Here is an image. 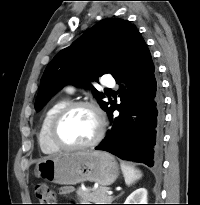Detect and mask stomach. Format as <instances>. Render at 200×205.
I'll list each match as a JSON object with an SVG mask.
<instances>
[{
    "instance_id": "0dacf381",
    "label": "stomach",
    "mask_w": 200,
    "mask_h": 205,
    "mask_svg": "<svg viewBox=\"0 0 200 205\" xmlns=\"http://www.w3.org/2000/svg\"><path fill=\"white\" fill-rule=\"evenodd\" d=\"M36 170L47 181L74 185L83 181L111 185L119 174L115 158L101 151L63 153L40 160Z\"/></svg>"
}]
</instances>
